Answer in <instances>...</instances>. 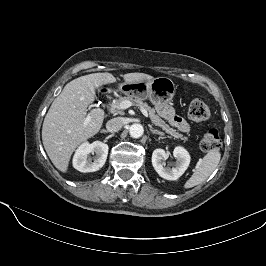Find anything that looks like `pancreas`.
Listing matches in <instances>:
<instances>
[{
  "mask_svg": "<svg viewBox=\"0 0 266 266\" xmlns=\"http://www.w3.org/2000/svg\"><path fill=\"white\" fill-rule=\"evenodd\" d=\"M122 101H130L133 106L145 109L148 112L152 123L155 124L156 126L161 127L166 133L172 135L173 137L177 139L183 140L184 142L188 140L186 136H183L182 134L177 132L175 129L171 128L158 115H156L154 108H151L146 102H143L142 100H139V99H134L131 96L120 97L119 99H115L110 104V110L112 113L123 114V111L120 108V103Z\"/></svg>",
  "mask_w": 266,
  "mask_h": 266,
  "instance_id": "obj_1",
  "label": "pancreas"
}]
</instances>
